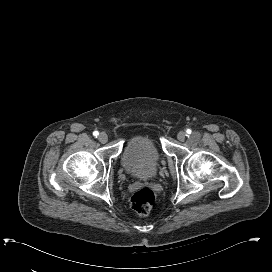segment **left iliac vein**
Instances as JSON below:
<instances>
[{
	"label": "left iliac vein",
	"instance_id": "1",
	"mask_svg": "<svg viewBox=\"0 0 272 272\" xmlns=\"http://www.w3.org/2000/svg\"><path fill=\"white\" fill-rule=\"evenodd\" d=\"M186 133L184 131H180L178 134H177V139L181 142L185 141L186 139Z\"/></svg>",
	"mask_w": 272,
	"mask_h": 272
}]
</instances>
